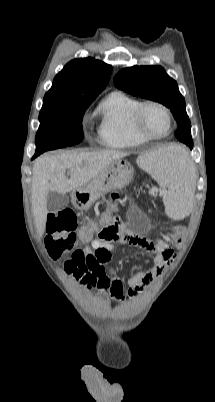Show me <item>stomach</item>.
<instances>
[{
    "mask_svg": "<svg viewBox=\"0 0 215 402\" xmlns=\"http://www.w3.org/2000/svg\"><path fill=\"white\" fill-rule=\"evenodd\" d=\"M133 176L134 168L128 161H115L90 183L74 190L71 194L72 203L78 210H89L106 193L127 186Z\"/></svg>",
    "mask_w": 215,
    "mask_h": 402,
    "instance_id": "0dacf381",
    "label": "stomach"
}]
</instances>
